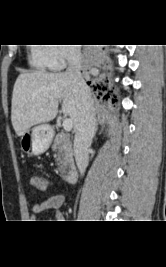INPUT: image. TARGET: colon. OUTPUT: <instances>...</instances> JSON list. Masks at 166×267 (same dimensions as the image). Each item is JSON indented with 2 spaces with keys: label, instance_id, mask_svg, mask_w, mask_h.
Segmentation results:
<instances>
[{
  "label": "colon",
  "instance_id": "5ec220e1",
  "mask_svg": "<svg viewBox=\"0 0 166 267\" xmlns=\"http://www.w3.org/2000/svg\"><path fill=\"white\" fill-rule=\"evenodd\" d=\"M25 180H30L33 188L45 189L47 187V181L39 175H25Z\"/></svg>",
  "mask_w": 166,
  "mask_h": 267
}]
</instances>
